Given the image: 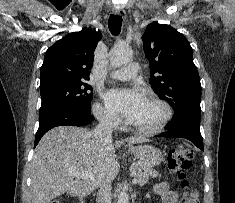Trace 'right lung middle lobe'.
Instances as JSON below:
<instances>
[{
    "instance_id": "obj_1",
    "label": "right lung middle lobe",
    "mask_w": 235,
    "mask_h": 203,
    "mask_svg": "<svg viewBox=\"0 0 235 203\" xmlns=\"http://www.w3.org/2000/svg\"><path fill=\"white\" fill-rule=\"evenodd\" d=\"M91 91L92 87L84 80L55 81L40 85L42 103L39 115L61 107L91 110Z\"/></svg>"
}]
</instances>
